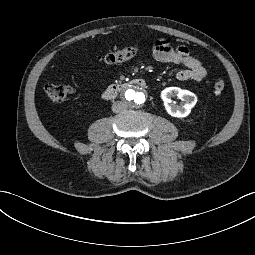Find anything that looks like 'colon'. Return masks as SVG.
Segmentation results:
<instances>
[{"label":"colon","instance_id":"colon-1","mask_svg":"<svg viewBox=\"0 0 255 255\" xmlns=\"http://www.w3.org/2000/svg\"><path fill=\"white\" fill-rule=\"evenodd\" d=\"M137 53V47L134 45L125 47L120 50L108 51L99 55L98 59L107 64H115L124 62L134 57ZM225 82L223 80H216L213 84V89L216 94L223 92ZM47 97L54 102H66L73 93V89L69 85L47 84L44 87Z\"/></svg>","mask_w":255,"mask_h":255}]
</instances>
